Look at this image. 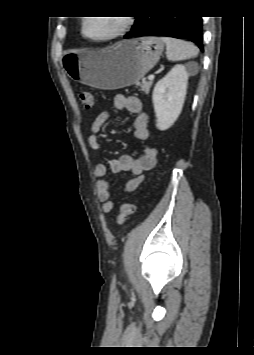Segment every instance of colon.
Masks as SVG:
<instances>
[{"label":"colon","mask_w":254,"mask_h":355,"mask_svg":"<svg viewBox=\"0 0 254 355\" xmlns=\"http://www.w3.org/2000/svg\"><path fill=\"white\" fill-rule=\"evenodd\" d=\"M79 99L84 109L93 110L95 99L91 92L89 91L80 92ZM134 212H135V205L133 203L122 204L119 212L116 215L117 223L124 224Z\"/></svg>","instance_id":"colon-1"}]
</instances>
